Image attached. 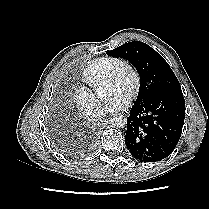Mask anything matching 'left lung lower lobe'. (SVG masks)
I'll return each mask as SVG.
<instances>
[{
	"label": "left lung lower lobe",
	"mask_w": 209,
	"mask_h": 209,
	"mask_svg": "<svg viewBox=\"0 0 209 209\" xmlns=\"http://www.w3.org/2000/svg\"><path fill=\"white\" fill-rule=\"evenodd\" d=\"M185 118L181 88L163 92L135 103L127 118L125 143L132 156L143 162H156L175 149Z\"/></svg>",
	"instance_id": "left-lung-lower-lobe-1"
}]
</instances>
